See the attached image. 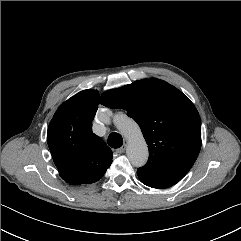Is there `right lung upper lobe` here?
<instances>
[{"mask_svg":"<svg viewBox=\"0 0 241 241\" xmlns=\"http://www.w3.org/2000/svg\"><path fill=\"white\" fill-rule=\"evenodd\" d=\"M99 93L83 90L64 102L54 114L47 131V143L60 175L78 184L98 181L112 163V151L92 132V120Z\"/></svg>","mask_w":241,"mask_h":241,"instance_id":"cb5924a9","label":"right lung upper lobe"}]
</instances>
